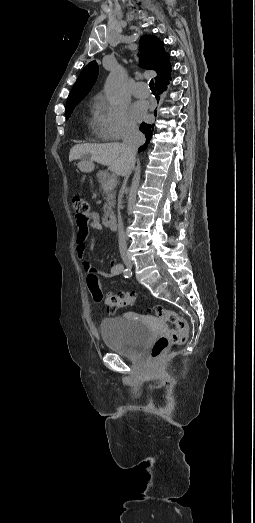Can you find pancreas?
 I'll return each instance as SVG.
<instances>
[{
	"mask_svg": "<svg viewBox=\"0 0 255 523\" xmlns=\"http://www.w3.org/2000/svg\"><path fill=\"white\" fill-rule=\"evenodd\" d=\"M97 178L99 180V184L101 188H104L105 182H110V180H114L115 186L117 184L116 176H113V174H110L108 170H100L97 174ZM115 186H113L112 190H106L107 192V202L103 208L105 216H109L110 212H112V208L115 206V194L113 192Z\"/></svg>",
	"mask_w": 255,
	"mask_h": 523,
	"instance_id": "cf45deb5",
	"label": "pancreas"
}]
</instances>
